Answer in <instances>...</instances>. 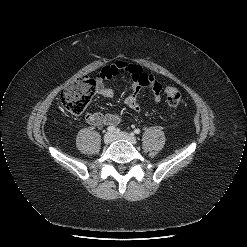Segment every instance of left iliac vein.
Wrapping results in <instances>:
<instances>
[{
  "label": "left iliac vein",
  "instance_id": "4c4485c4",
  "mask_svg": "<svg viewBox=\"0 0 247 247\" xmlns=\"http://www.w3.org/2000/svg\"><path fill=\"white\" fill-rule=\"evenodd\" d=\"M120 139L126 140L134 145L137 144L136 138L126 132H118L114 134V140H120Z\"/></svg>",
  "mask_w": 247,
  "mask_h": 247
}]
</instances>
